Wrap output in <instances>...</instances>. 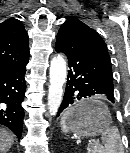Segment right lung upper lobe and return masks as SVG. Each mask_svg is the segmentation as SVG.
Returning <instances> with one entry per match:
<instances>
[{
  "label": "right lung upper lobe",
  "instance_id": "1",
  "mask_svg": "<svg viewBox=\"0 0 130 153\" xmlns=\"http://www.w3.org/2000/svg\"><path fill=\"white\" fill-rule=\"evenodd\" d=\"M28 60L29 42L23 24L7 19L0 24V70L24 65Z\"/></svg>",
  "mask_w": 130,
  "mask_h": 153
}]
</instances>
